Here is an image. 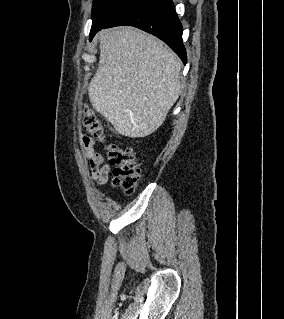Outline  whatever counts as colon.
<instances>
[{"label": "colon", "mask_w": 284, "mask_h": 319, "mask_svg": "<svg viewBox=\"0 0 284 319\" xmlns=\"http://www.w3.org/2000/svg\"><path fill=\"white\" fill-rule=\"evenodd\" d=\"M82 122L85 129L95 138L105 141L106 135L100 120L90 112H84ZM109 163L113 167V184L126 194H132L139 180V166L131 147H121L116 143L107 146Z\"/></svg>", "instance_id": "5ec220e1"}]
</instances>
